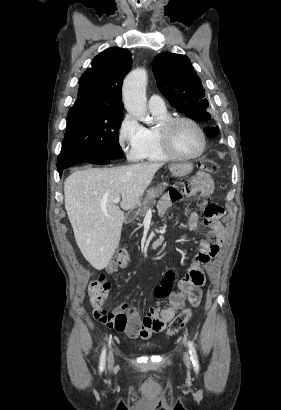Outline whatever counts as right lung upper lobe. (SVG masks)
I'll use <instances>...</instances> for the list:
<instances>
[{
  "label": "right lung upper lobe",
  "mask_w": 281,
  "mask_h": 410,
  "mask_svg": "<svg viewBox=\"0 0 281 410\" xmlns=\"http://www.w3.org/2000/svg\"><path fill=\"white\" fill-rule=\"evenodd\" d=\"M132 66L128 50L114 47L97 55L82 74L73 106H90L114 111L122 109V82Z\"/></svg>",
  "instance_id": "right-lung-upper-lobe-1"
}]
</instances>
